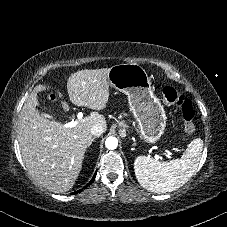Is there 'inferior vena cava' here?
Returning <instances> with one entry per match:
<instances>
[{"mask_svg": "<svg viewBox=\"0 0 227 227\" xmlns=\"http://www.w3.org/2000/svg\"><path fill=\"white\" fill-rule=\"evenodd\" d=\"M106 128L102 124H95L91 128V134L94 136H100Z\"/></svg>", "mask_w": 227, "mask_h": 227, "instance_id": "1", "label": "inferior vena cava"}]
</instances>
